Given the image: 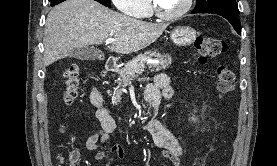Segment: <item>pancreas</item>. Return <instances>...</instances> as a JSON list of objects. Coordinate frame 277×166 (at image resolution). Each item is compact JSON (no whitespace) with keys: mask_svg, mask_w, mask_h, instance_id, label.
<instances>
[{"mask_svg":"<svg viewBox=\"0 0 277 166\" xmlns=\"http://www.w3.org/2000/svg\"><path fill=\"white\" fill-rule=\"evenodd\" d=\"M155 58L159 60V63L148 64L147 59ZM172 63L170 54H161L157 51H149L144 54L138 55L130 63H128L124 68L120 69L118 74L120 79L117 81L118 86L126 87L131 81L136 79L146 66H148L151 71H160L168 67ZM121 91H116L112 95V103L118 104L121 102Z\"/></svg>","mask_w":277,"mask_h":166,"instance_id":"cf45deb5","label":"pancreas"}]
</instances>
